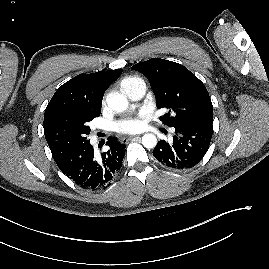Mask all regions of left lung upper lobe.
Wrapping results in <instances>:
<instances>
[{
  "mask_svg": "<svg viewBox=\"0 0 269 269\" xmlns=\"http://www.w3.org/2000/svg\"><path fill=\"white\" fill-rule=\"evenodd\" d=\"M132 69L148 78L157 107L169 111L160 118L167 126L213 124V106L208 91L186 67L169 60L152 58L135 64Z\"/></svg>",
  "mask_w": 269,
  "mask_h": 269,
  "instance_id": "5c2ea615",
  "label": "left lung upper lobe"
}]
</instances>
